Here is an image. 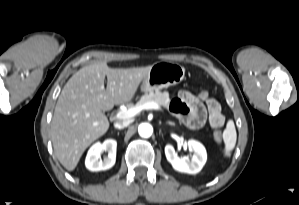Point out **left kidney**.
<instances>
[{
	"mask_svg": "<svg viewBox=\"0 0 299 205\" xmlns=\"http://www.w3.org/2000/svg\"><path fill=\"white\" fill-rule=\"evenodd\" d=\"M189 151L193 152L191 160L188 157H178L172 145L165 146V155L172 167L179 172L196 174L201 171L207 161L205 147L198 141L190 139L187 142Z\"/></svg>",
	"mask_w": 299,
	"mask_h": 205,
	"instance_id": "1",
	"label": "left kidney"
}]
</instances>
